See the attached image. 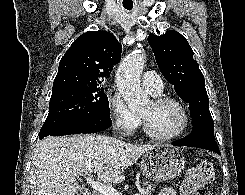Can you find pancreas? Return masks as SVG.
<instances>
[{"instance_id":"cf45deb5","label":"pancreas","mask_w":245,"mask_h":195,"mask_svg":"<svg viewBox=\"0 0 245 195\" xmlns=\"http://www.w3.org/2000/svg\"><path fill=\"white\" fill-rule=\"evenodd\" d=\"M143 187H144V190L147 192V193H151L155 190V187H156V184H153V183H148V182H143Z\"/></svg>"}]
</instances>
